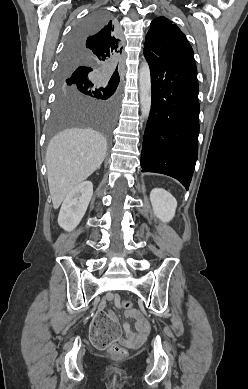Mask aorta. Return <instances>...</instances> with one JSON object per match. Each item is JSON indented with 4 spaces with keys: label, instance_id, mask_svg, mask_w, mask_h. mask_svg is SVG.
Instances as JSON below:
<instances>
[{
    "label": "aorta",
    "instance_id": "1",
    "mask_svg": "<svg viewBox=\"0 0 248 389\" xmlns=\"http://www.w3.org/2000/svg\"><path fill=\"white\" fill-rule=\"evenodd\" d=\"M139 90L141 114L147 119L151 109V75L148 63L145 61L139 69Z\"/></svg>",
    "mask_w": 248,
    "mask_h": 389
}]
</instances>
